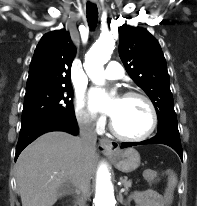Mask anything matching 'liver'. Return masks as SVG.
Returning <instances> with one entry per match:
<instances>
[{
  "label": "liver",
  "mask_w": 197,
  "mask_h": 206,
  "mask_svg": "<svg viewBox=\"0 0 197 206\" xmlns=\"http://www.w3.org/2000/svg\"><path fill=\"white\" fill-rule=\"evenodd\" d=\"M96 159V149L84 154L78 137L65 132L40 136L16 163L22 206H53L69 185L78 187L82 177L90 181Z\"/></svg>",
  "instance_id": "1"
}]
</instances>
